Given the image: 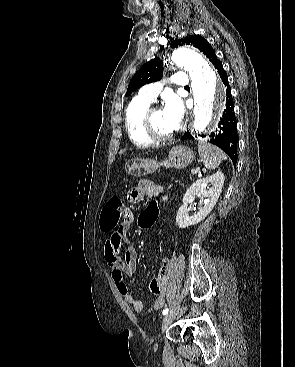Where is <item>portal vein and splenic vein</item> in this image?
<instances>
[{
    "label": "portal vein and splenic vein",
    "instance_id": "portal-vein-and-splenic-vein-1",
    "mask_svg": "<svg viewBox=\"0 0 295 367\" xmlns=\"http://www.w3.org/2000/svg\"><path fill=\"white\" fill-rule=\"evenodd\" d=\"M196 173H197V170L191 169V174H196Z\"/></svg>",
    "mask_w": 295,
    "mask_h": 367
}]
</instances>
